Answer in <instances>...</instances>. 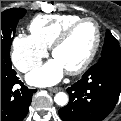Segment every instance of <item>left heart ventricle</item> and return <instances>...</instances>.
<instances>
[{
	"mask_svg": "<svg viewBox=\"0 0 121 121\" xmlns=\"http://www.w3.org/2000/svg\"><path fill=\"white\" fill-rule=\"evenodd\" d=\"M96 39L95 27L86 22L78 26L68 40L55 53L65 71L80 65L88 55Z\"/></svg>",
	"mask_w": 121,
	"mask_h": 121,
	"instance_id": "obj_1",
	"label": "left heart ventricle"
}]
</instances>
